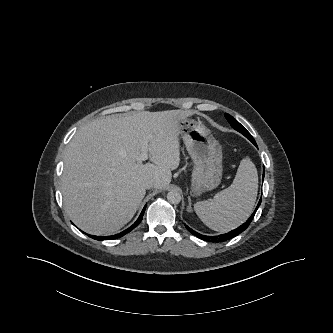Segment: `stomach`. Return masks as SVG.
Here are the masks:
<instances>
[{
  "instance_id": "stomach-1",
  "label": "stomach",
  "mask_w": 333,
  "mask_h": 333,
  "mask_svg": "<svg viewBox=\"0 0 333 333\" xmlns=\"http://www.w3.org/2000/svg\"><path fill=\"white\" fill-rule=\"evenodd\" d=\"M180 135L191 156L194 168L191 189L195 195L218 187L222 178V149L209 129L201 122L183 119Z\"/></svg>"
}]
</instances>
